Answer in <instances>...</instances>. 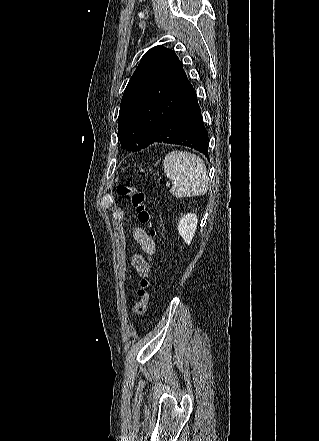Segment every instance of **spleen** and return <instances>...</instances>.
<instances>
[{
  "label": "spleen",
  "instance_id": "3e777b00",
  "mask_svg": "<svg viewBox=\"0 0 319 441\" xmlns=\"http://www.w3.org/2000/svg\"><path fill=\"white\" fill-rule=\"evenodd\" d=\"M164 172L174 182L171 193L176 198L201 196L208 190L209 178L204 161L187 151H171L163 161Z\"/></svg>",
  "mask_w": 319,
  "mask_h": 441
}]
</instances>
